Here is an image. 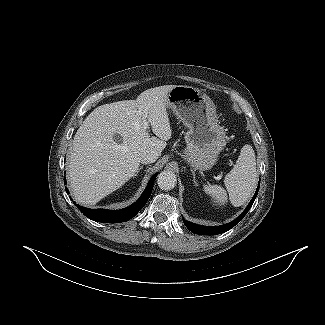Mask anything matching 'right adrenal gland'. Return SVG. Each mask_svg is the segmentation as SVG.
I'll return each mask as SVG.
<instances>
[{
	"label": "right adrenal gland",
	"mask_w": 325,
	"mask_h": 325,
	"mask_svg": "<svg viewBox=\"0 0 325 325\" xmlns=\"http://www.w3.org/2000/svg\"><path fill=\"white\" fill-rule=\"evenodd\" d=\"M143 169V166L139 167L138 170L136 171L134 176H137V174L140 172V170Z\"/></svg>",
	"instance_id": "obj_1"
}]
</instances>
